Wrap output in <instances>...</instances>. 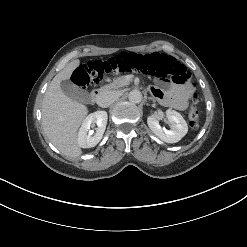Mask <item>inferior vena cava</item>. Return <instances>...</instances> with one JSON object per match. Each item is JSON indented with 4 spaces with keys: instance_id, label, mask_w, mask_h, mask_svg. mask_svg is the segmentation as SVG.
I'll return each mask as SVG.
<instances>
[{
    "instance_id": "inferior-vena-cava-1",
    "label": "inferior vena cava",
    "mask_w": 247,
    "mask_h": 247,
    "mask_svg": "<svg viewBox=\"0 0 247 247\" xmlns=\"http://www.w3.org/2000/svg\"><path fill=\"white\" fill-rule=\"evenodd\" d=\"M117 99H118V94L116 92L106 91L98 97L97 104L100 107L106 108V107H109Z\"/></svg>"
}]
</instances>
